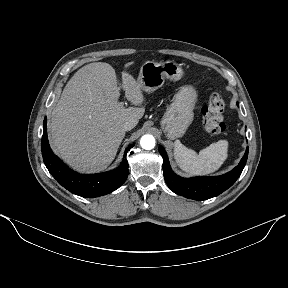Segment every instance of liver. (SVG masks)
Here are the masks:
<instances>
[{
  "mask_svg": "<svg viewBox=\"0 0 288 288\" xmlns=\"http://www.w3.org/2000/svg\"><path fill=\"white\" fill-rule=\"evenodd\" d=\"M132 62L125 64L130 67ZM125 96L135 106L144 97L132 75L122 73ZM120 88L114 68L95 62L80 68L63 89L49 123L51 143L72 168L85 173L106 169L125 137L123 125L143 117L144 107L119 105Z\"/></svg>",
  "mask_w": 288,
  "mask_h": 288,
  "instance_id": "6515ba94",
  "label": "liver"
}]
</instances>
